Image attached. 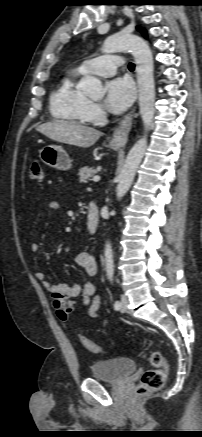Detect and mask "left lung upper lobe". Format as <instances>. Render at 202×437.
Instances as JSON below:
<instances>
[{
    "mask_svg": "<svg viewBox=\"0 0 202 437\" xmlns=\"http://www.w3.org/2000/svg\"><path fill=\"white\" fill-rule=\"evenodd\" d=\"M137 29H138L140 32H142V34H143L144 37H147V36H146V31H145L143 28H141V27H137Z\"/></svg>",
    "mask_w": 202,
    "mask_h": 437,
    "instance_id": "left-lung-upper-lobe-1",
    "label": "left lung upper lobe"
}]
</instances>
